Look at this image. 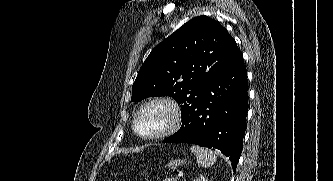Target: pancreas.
<instances>
[{"label":"pancreas","mask_w":333,"mask_h":181,"mask_svg":"<svg viewBox=\"0 0 333 181\" xmlns=\"http://www.w3.org/2000/svg\"><path fill=\"white\" fill-rule=\"evenodd\" d=\"M163 181H173V179L172 178H166Z\"/></svg>","instance_id":"cf45deb5"}]
</instances>
